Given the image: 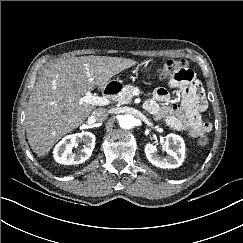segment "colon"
I'll use <instances>...</instances> for the list:
<instances>
[{"label":"colon","mask_w":243,"mask_h":243,"mask_svg":"<svg viewBox=\"0 0 243 243\" xmlns=\"http://www.w3.org/2000/svg\"><path fill=\"white\" fill-rule=\"evenodd\" d=\"M187 62L183 59H169L159 70V77L161 79L175 78L178 80L185 79L189 73ZM208 138L206 136H200L198 138V144L200 146H206L208 144Z\"/></svg>","instance_id":"obj_1"}]
</instances>
